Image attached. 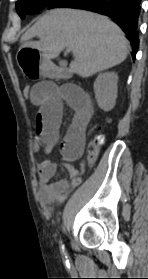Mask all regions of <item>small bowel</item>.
Listing matches in <instances>:
<instances>
[{"mask_svg": "<svg viewBox=\"0 0 148 279\" xmlns=\"http://www.w3.org/2000/svg\"><path fill=\"white\" fill-rule=\"evenodd\" d=\"M29 99L37 107L33 150L37 152L43 148L46 153H50L60 142L63 167L68 172V177L53 180L58 164L51 159L43 160L38 168L40 195L45 202H62L82 179L83 169L75 168L72 163L78 160L84 151L86 129L93 115L92 101L90 96L76 85H57L49 81L35 84ZM65 102L75 113L64 137L60 139Z\"/></svg>", "mask_w": 148, "mask_h": 279, "instance_id": "small-bowel-1", "label": "small bowel"}]
</instances>
